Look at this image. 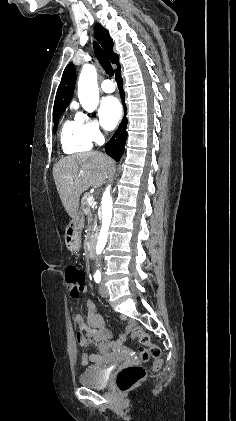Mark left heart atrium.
Returning <instances> with one entry per match:
<instances>
[{
	"label": "left heart atrium",
	"instance_id": "obj_1",
	"mask_svg": "<svg viewBox=\"0 0 236 421\" xmlns=\"http://www.w3.org/2000/svg\"><path fill=\"white\" fill-rule=\"evenodd\" d=\"M100 114L106 129L111 130L116 127L122 115L118 99L115 96L105 97L101 102Z\"/></svg>",
	"mask_w": 236,
	"mask_h": 421
}]
</instances>
